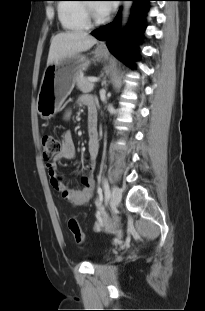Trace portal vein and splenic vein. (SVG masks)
Masks as SVG:
<instances>
[{
    "label": "portal vein and splenic vein",
    "mask_w": 205,
    "mask_h": 311,
    "mask_svg": "<svg viewBox=\"0 0 205 311\" xmlns=\"http://www.w3.org/2000/svg\"><path fill=\"white\" fill-rule=\"evenodd\" d=\"M88 80H89L90 82H97L99 79L96 78V77H89Z\"/></svg>",
    "instance_id": "portal-vein-and-splenic-vein-1"
}]
</instances>
